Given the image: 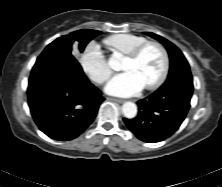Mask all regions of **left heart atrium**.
I'll list each match as a JSON object with an SVG mask.
<instances>
[{"label":"left heart atrium","instance_id":"obj_1","mask_svg":"<svg viewBox=\"0 0 222 187\" xmlns=\"http://www.w3.org/2000/svg\"><path fill=\"white\" fill-rule=\"evenodd\" d=\"M143 84L132 71H124L114 76L106 86V92L116 96L128 97L137 94Z\"/></svg>","mask_w":222,"mask_h":187}]
</instances>
